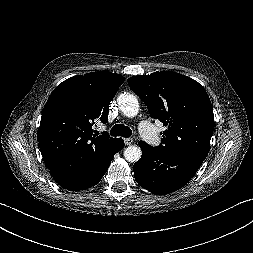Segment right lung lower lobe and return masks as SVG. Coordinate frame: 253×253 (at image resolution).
<instances>
[{"instance_id":"obj_1","label":"right lung lower lobe","mask_w":253,"mask_h":253,"mask_svg":"<svg viewBox=\"0 0 253 253\" xmlns=\"http://www.w3.org/2000/svg\"><path fill=\"white\" fill-rule=\"evenodd\" d=\"M123 147V139L117 138L104 152L90 159L75 162L70 166L49 169L50 174L64 189L72 191L88 189L99 183L114 155Z\"/></svg>"}]
</instances>
